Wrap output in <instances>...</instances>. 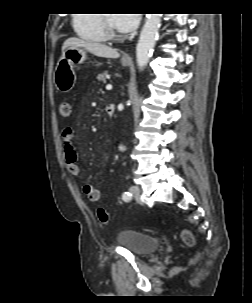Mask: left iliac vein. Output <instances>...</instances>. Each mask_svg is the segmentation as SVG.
<instances>
[{
	"label": "left iliac vein",
	"instance_id": "1",
	"mask_svg": "<svg viewBox=\"0 0 252 303\" xmlns=\"http://www.w3.org/2000/svg\"><path fill=\"white\" fill-rule=\"evenodd\" d=\"M130 192L131 194L134 196V198L139 202V203H142V200L140 198V188L136 185H133L130 187Z\"/></svg>",
	"mask_w": 252,
	"mask_h": 303
}]
</instances>
